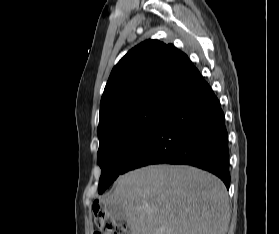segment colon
Returning a JSON list of instances; mask_svg holds the SVG:
<instances>
[{
    "label": "colon",
    "instance_id": "obj_1",
    "mask_svg": "<svg viewBox=\"0 0 279 234\" xmlns=\"http://www.w3.org/2000/svg\"><path fill=\"white\" fill-rule=\"evenodd\" d=\"M94 234H130L126 227L110 217L103 207L94 209Z\"/></svg>",
    "mask_w": 279,
    "mask_h": 234
}]
</instances>
